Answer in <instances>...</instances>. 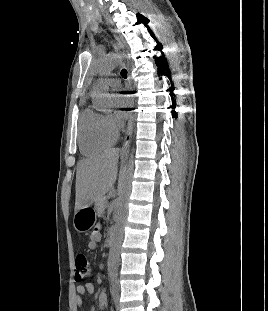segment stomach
<instances>
[{"instance_id":"obj_1","label":"stomach","mask_w":268,"mask_h":311,"mask_svg":"<svg viewBox=\"0 0 268 311\" xmlns=\"http://www.w3.org/2000/svg\"><path fill=\"white\" fill-rule=\"evenodd\" d=\"M95 219L96 212L89 205L75 211L73 217V226L78 232H87L95 224Z\"/></svg>"}]
</instances>
